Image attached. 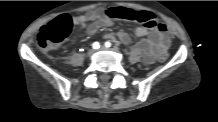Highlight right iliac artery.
Masks as SVG:
<instances>
[{"label":"right iliac artery","mask_w":218,"mask_h":122,"mask_svg":"<svg viewBox=\"0 0 218 122\" xmlns=\"http://www.w3.org/2000/svg\"><path fill=\"white\" fill-rule=\"evenodd\" d=\"M92 47H93L94 49H98V48L100 47L99 42H94V43L92 44Z\"/></svg>","instance_id":"right-iliac-artery-1"}]
</instances>
